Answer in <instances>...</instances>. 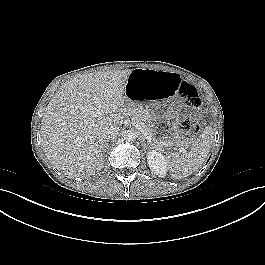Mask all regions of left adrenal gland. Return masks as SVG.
I'll return each instance as SVG.
<instances>
[{"label":"left adrenal gland","mask_w":265,"mask_h":265,"mask_svg":"<svg viewBox=\"0 0 265 265\" xmlns=\"http://www.w3.org/2000/svg\"><path fill=\"white\" fill-rule=\"evenodd\" d=\"M142 137V136H141ZM142 139H143V143H142V146L145 148V146H146V143H145V139L142 137Z\"/></svg>","instance_id":"left-adrenal-gland-1"}]
</instances>
